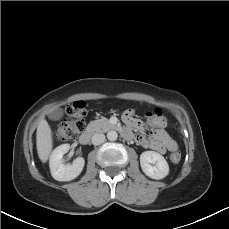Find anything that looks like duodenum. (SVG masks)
Masks as SVG:
<instances>
[{"instance_id":"duodenum-1","label":"duodenum","mask_w":229,"mask_h":229,"mask_svg":"<svg viewBox=\"0 0 229 229\" xmlns=\"http://www.w3.org/2000/svg\"><path fill=\"white\" fill-rule=\"evenodd\" d=\"M94 134H95L94 128L87 129L86 131H84L80 135V137L78 139L79 144H81V145L89 144L91 139H92V137L94 136ZM121 135L126 139H133V135L127 129H122L121 130Z\"/></svg>"}]
</instances>
